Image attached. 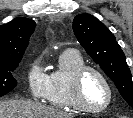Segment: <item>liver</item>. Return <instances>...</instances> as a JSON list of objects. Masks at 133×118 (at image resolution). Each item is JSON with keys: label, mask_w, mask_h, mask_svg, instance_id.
Instances as JSON below:
<instances>
[{"label": "liver", "mask_w": 133, "mask_h": 118, "mask_svg": "<svg viewBox=\"0 0 133 118\" xmlns=\"http://www.w3.org/2000/svg\"><path fill=\"white\" fill-rule=\"evenodd\" d=\"M75 115L40 103L23 100L0 101V118H74Z\"/></svg>", "instance_id": "6515ba94"}]
</instances>
